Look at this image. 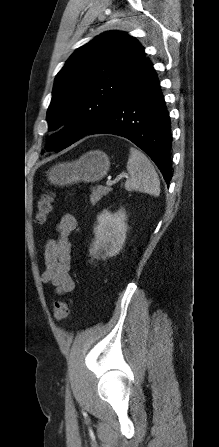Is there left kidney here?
I'll use <instances>...</instances> for the list:
<instances>
[{"label":"left kidney","instance_id":"left-kidney-1","mask_svg":"<svg viewBox=\"0 0 219 447\" xmlns=\"http://www.w3.org/2000/svg\"><path fill=\"white\" fill-rule=\"evenodd\" d=\"M126 219L123 210L114 214L104 210L98 215L94 228L95 239L89 250L92 256L106 259L119 253L126 239Z\"/></svg>","mask_w":219,"mask_h":447}]
</instances>
